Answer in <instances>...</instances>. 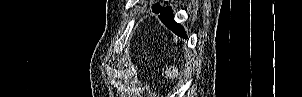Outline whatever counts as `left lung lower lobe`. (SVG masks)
Returning a JSON list of instances; mask_svg holds the SVG:
<instances>
[{
    "instance_id": "left-lung-lower-lobe-1",
    "label": "left lung lower lobe",
    "mask_w": 302,
    "mask_h": 97,
    "mask_svg": "<svg viewBox=\"0 0 302 97\" xmlns=\"http://www.w3.org/2000/svg\"><path fill=\"white\" fill-rule=\"evenodd\" d=\"M152 11L155 13H160L159 18L160 20L175 34L181 36L183 38H187L186 33L182 26L177 24L172 15V9L170 7L162 8L158 4L152 8Z\"/></svg>"
}]
</instances>
